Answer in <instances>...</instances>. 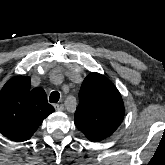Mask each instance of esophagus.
Listing matches in <instances>:
<instances>
[{
	"instance_id": "34e87169",
	"label": "esophagus",
	"mask_w": 165,
	"mask_h": 165,
	"mask_svg": "<svg viewBox=\"0 0 165 165\" xmlns=\"http://www.w3.org/2000/svg\"><path fill=\"white\" fill-rule=\"evenodd\" d=\"M54 107L57 111H63L64 110L63 104H55Z\"/></svg>"
}]
</instances>
